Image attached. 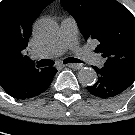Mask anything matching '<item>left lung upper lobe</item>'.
<instances>
[{"label":"left lung upper lobe","mask_w":135,"mask_h":135,"mask_svg":"<svg viewBox=\"0 0 135 135\" xmlns=\"http://www.w3.org/2000/svg\"><path fill=\"white\" fill-rule=\"evenodd\" d=\"M85 39L97 40L95 52L119 75L135 80V17L116 0H61Z\"/></svg>","instance_id":"5c2ea615"}]
</instances>
